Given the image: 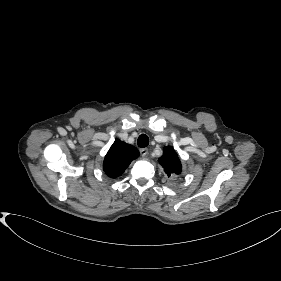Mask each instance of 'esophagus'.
I'll list each match as a JSON object with an SVG mask.
<instances>
[{
  "label": "esophagus",
  "mask_w": 281,
  "mask_h": 281,
  "mask_svg": "<svg viewBox=\"0 0 281 281\" xmlns=\"http://www.w3.org/2000/svg\"><path fill=\"white\" fill-rule=\"evenodd\" d=\"M140 154H141L142 157H145L148 154V149L147 148H141Z\"/></svg>",
  "instance_id": "34e87169"
}]
</instances>
